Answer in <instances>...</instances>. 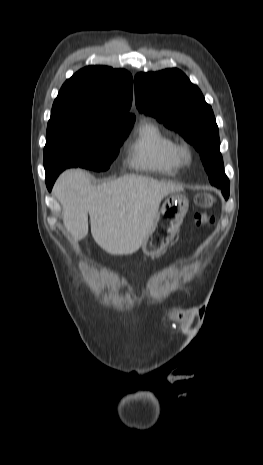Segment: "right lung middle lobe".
<instances>
[{
	"label": "right lung middle lobe",
	"mask_w": 263,
	"mask_h": 465,
	"mask_svg": "<svg viewBox=\"0 0 263 465\" xmlns=\"http://www.w3.org/2000/svg\"><path fill=\"white\" fill-rule=\"evenodd\" d=\"M134 121L83 109L52 110L44 148L45 172L59 174L77 166L106 171Z\"/></svg>",
	"instance_id": "right-lung-middle-lobe-1"
}]
</instances>
